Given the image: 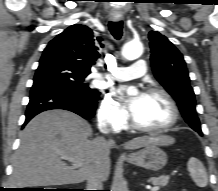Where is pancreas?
Segmentation results:
<instances>
[{"label":"pancreas","instance_id":"pancreas-1","mask_svg":"<svg viewBox=\"0 0 218 191\" xmlns=\"http://www.w3.org/2000/svg\"><path fill=\"white\" fill-rule=\"evenodd\" d=\"M168 180H169L168 176H160V177L150 178L149 182L153 183L154 185L165 186L168 183Z\"/></svg>","mask_w":218,"mask_h":191}]
</instances>
